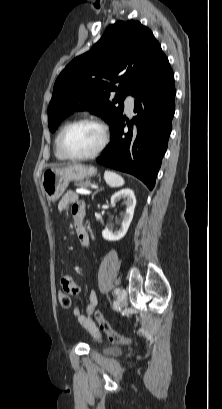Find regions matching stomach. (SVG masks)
I'll return each instance as SVG.
<instances>
[{
	"instance_id": "0dacf381",
	"label": "stomach",
	"mask_w": 222,
	"mask_h": 409,
	"mask_svg": "<svg viewBox=\"0 0 222 409\" xmlns=\"http://www.w3.org/2000/svg\"><path fill=\"white\" fill-rule=\"evenodd\" d=\"M96 173L95 167L80 163L62 168H49L42 174V190L49 202H55L64 193L69 182H81L85 178L95 176Z\"/></svg>"
}]
</instances>
